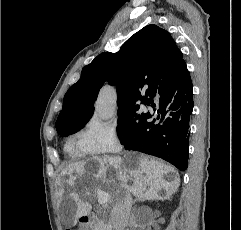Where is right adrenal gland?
<instances>
[{
	"label": "right adrenal gland",
	"instance_id": "right-adrenal-gland-1",
	"mask_svg": "<svg viewBox=\"0 0 241 230\" xmlns=\"http://www.w3.org/2000/svg\"><path fill=\"white\" fill-rule=\"evenodd\" d=\"M137 201H145V199L141 198V199H135L134 203H136Z\"/></svg>",
	"mask_w": 241,
	"mask_h": 230
}]
</instances>
